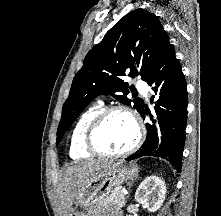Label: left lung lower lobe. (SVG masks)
<instances>
[{
    "instance_id": "0a47b994",
    "label": "left lung lower lobe",
    "mask_w": 221,
    "mask_h": 216,
    "mask_svg": "<svg viewBox=\"0 0 221 216\" xmlns=\"http://www.w3.org/2000/svg\"><path fill=\"white\" fill-rule=\"evenodd\" d=\"M146 82L157 95L154 113L147 123V137L141 148L126 158L130 161L142 156L162 157L181 172L187 119V88L181 66L175 57L172 44L163 48L151 68ZM155 96H152L153 102ZM143 118L148 112H139Z\"/></svg>"
}]
</instances>
